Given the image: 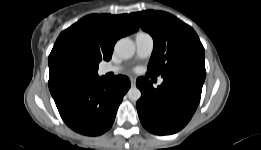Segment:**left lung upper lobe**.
Wrapping results in <instances>:
<instances>
[{
  "instance_id": "5c2ea615",
  "label": "left lung upper lobe",
  "mask_w": 261,
  "mask_h": 150,
  "mask_svg": "<svg viewBox=\"0 0 261 150\" xmlns=\"http://www.w3.org/2000/svg\"><path fill=\"white\" fill-rule=\"evenodd\" d=\"M154 40L148 76H167L181 69L205 71V51L195 31L175 16L147 10L130 14Z\"/></svg>"
}]
</instances>
